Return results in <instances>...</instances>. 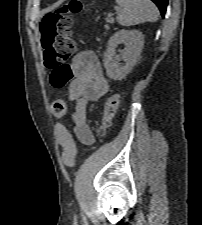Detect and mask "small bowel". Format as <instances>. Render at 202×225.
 I'll use <instances>...</instances> for the list:
<instances>
[{"mask_svg": "<svg viewBox=\"0 0 202 225\" xmlns=\"http://www.w3.org/2000/svg\"><path fill=\"white\" fill-rule=\"evenodd\" d=\"M73 77L67 87L68 98L73 101L74 111L71 118L74 135L85 145H91L94 136L87 121L88 102L96 101L108 91V83L102 73L100 60L88 49L79 51L71 62ZM69 134L64 128H57V139L63 147V135Z\"/></svg>", "mask_w": 202, "mask_h": 225, "instance_id": "small-bowel-1", "label": "small bowel"}]
</instances>
